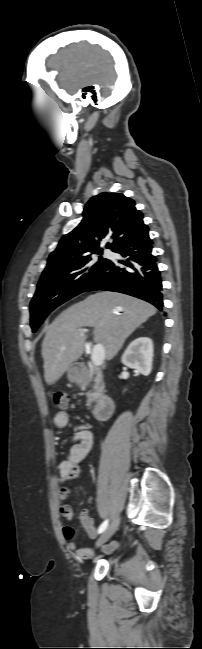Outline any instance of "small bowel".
<instances>
[{
	"instance_id": "obj_1",
	"label": "small bowel",
	"mask_w": 202,
	"mask_h": 649,
	"mask_svg": "<svg viewBox=\"0 0 202 649\" xmlns=\"http://www.w3.org/2000/svg\"><path fill=\"white\" fill-rule=\"evenodd\" d=\"M70 415L66 411H59L53 418V423L57 428H64L68 425ZM92 434L88 430L79 431L73 438L72 445L69 449L65 459L59 466V480L62 483L68 484L66 487L59 488L57 498L59 502V511L65 522H70L73 516L71 506L68 504L70 494V486L74 479L80 473V464L89 454L92 448ZM81 524L90 538H95L97 528L94 525L93 519L88 515L87 511H83L80 516ZM62 535L68 541V548L76 552L81 560H88L94 557V550L89 548H77L76 543L73 541L75 537V529L66 524L62 527ZM117 546L115 541L110 542L102 547L105 553L112 552Z\"/></svg>"
}]
</instances>
